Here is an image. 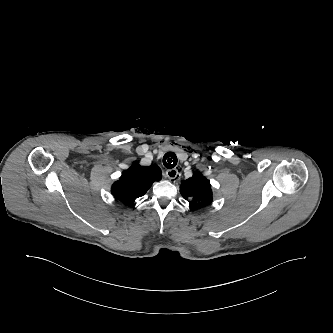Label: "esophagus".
<instances>
[{"instance_id": "obj_1", "label": "esophagus", "mask_w": 333, "mask_h": 333, "mask_svg": "<svg viewBox=\"0 0 333 333\" xmlns=\"http://www.w3.org/2000/svg\"><path fill=\"white\" fill-rule=\"evenodd\" d=\"M166 177L169 180L179 179L180 178L179 167L173 168V169H168L166 171Z\"/></svg>"}]
</instances>
